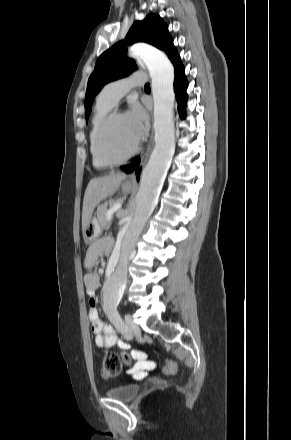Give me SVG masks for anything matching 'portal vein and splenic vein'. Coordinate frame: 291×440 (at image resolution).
Here are the masks:
<instances>
[{
    "mask_svg": "<svg viewBox=\"0 0 291 440\" xmlns=\"http://www.w3.org/2000/svg\"><path fill=\"white\" fill-rule=\"evenodd\" d=\"M121 207H122L121 204H116L111 208V210L107 213V221L108 222L111 220L113 213L118 211L119 209H121Z\"/></svg>",
    "mask_w": 291,
    "mask_h": 440,
    "instance_id": "1",
    "label": "portal vein and splenic vein"
}]
</instances>
